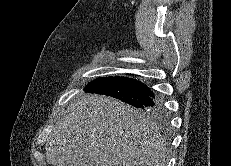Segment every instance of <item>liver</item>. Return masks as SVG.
I'll use <instances>...</instances> for the list:
<instances>
[{
  "label": "liver",
  "instance_id": "liver-1",
  "mask_svg": "<svg viewBox=\"0 0 231 166\" xmlns=\"http://www.w3.org/2000/svg\"><path fill=\"white\" fill-rule=\"evenodd\" d=\"M168 142L140 110L102 95H80L45 147L53 166H165Z\"/></svg>",
  "mask_w": 231,
  "mask_h": 166
}]
</instances>
